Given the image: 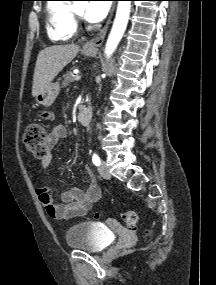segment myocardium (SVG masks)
I'll return each mask as SVG.
<instances>
[{
	"label": "myocardium",
	"instance_id": "myocardium-1",
	"mask_svg": "<svg viewBox=\"0 0 216 285\" xmlns=\"http://www.w3.org/2000/svg\"><path fill=\"white\" fill-rule=\"evenodd\" d=\"M71 10H72V14H73V18L75 21V24L77 26V24L82 22V14H80L74 6H71Z\"/></svg>",
	"mask_w": 216,
	"mask_h": 285
}]
</instances>
